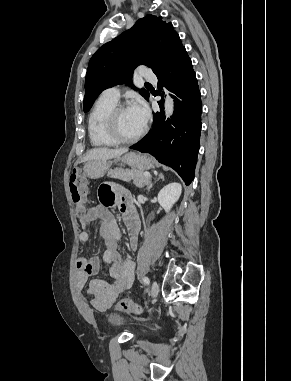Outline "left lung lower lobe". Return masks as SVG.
I'll return each mask as SVG.
<instances>
[{"label": "left lung lower lobe", "instance_id": "left-lung-lower-lobe-1", "mask_svg": "<svg viewBox=\"0 0 291 381\" xmlns=\"http://www.w3.org/2000/svg\"><path fill=\"white\" fill-rule=\"evenodd\" d=\"M174 95L175 108L165 120L162 100L160 113L154 114L152 130L131 149L149 153L160 163L172 167L189 185L194 179L201 133L202 104L199 86L185 48L157 75Z\"/></svg>", "mask_w": 291, "mask_h": 381}]
</instances>
